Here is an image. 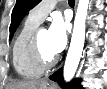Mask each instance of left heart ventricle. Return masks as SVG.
<instances>
[{
  "mask_svg": "<svg viewBox=\"0 0 107 89\" xmlns=\"http://www.w3.org/2000/svg\"><path fill=\"white\" fill-rule=\"evenodd\" d=\"M39 43L41 51L45 58L51 59L55 53L51 50L49 45V33L48 30L42 29L39 35Z\"/></svg>",
  "mask_w": 107,
  "mask_h": 89,
  "instance_id": "obj_1",
  "label": "left heart ventricle"
}]
</instances>
